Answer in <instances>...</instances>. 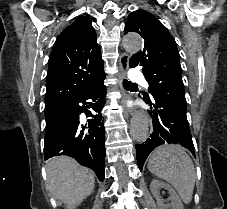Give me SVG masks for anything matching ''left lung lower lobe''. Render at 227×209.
<instances>
[{"label":"left lung lower lobe","mask_w":227,"mask_h":209,"mask_svg":"<svg viewBox=\"0 0 227 209\" xmlns=\"http://www.w3.org/2000/svg\"><path fill=\"white\" fill-rule=\"evenodd\" d=\"M151 110L153 133L144 143L136 145L138 167L142 170L148 155L162 144H178L195 156L186 110L167 100L147 101ZM154 108V110H153Z\"/></svg>","instance_id":"1"}]
</instances>
